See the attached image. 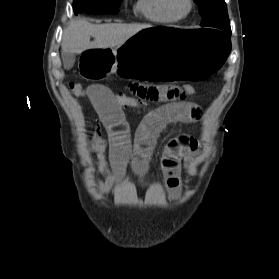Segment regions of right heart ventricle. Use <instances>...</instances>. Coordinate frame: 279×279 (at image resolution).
<instances>
[{
  "label": "right heart ventricle",
  "mask_w": 279,
  "mask_h": 279,
  "mask_svg": "<svg viewBox=\"0 0 279 279\" xmlns=\"http://www.w3.org/2000/svg\"><path fill=\"white\" fill-rule=\"evenodd\" d=\"M135 8L152 22L169 24L178 20L169 13L166 0H137Z\"/></svg>",
  "instance_id": "obj_1"
}]
</instances>
